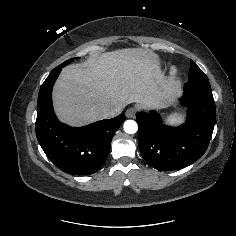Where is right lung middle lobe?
Segmentation results:
<instances>
[{"mask_svg": "<svg viewBox=\"0 0 236 236\" xmlns=\"http://www.w3.org/2000/svg\"><path fill=\"white\" fill-rule=\"evenodd\" d=\"M72 60H73V58H71V59L65 61L64 63H62V64L59 65V66L64 67L65 65L69 64Z\"/></svg>", "mask_w": 236, "mask_h": 236, "instance_id": "obj_1", "label": "right lung middle lobe"}]
</instances>
